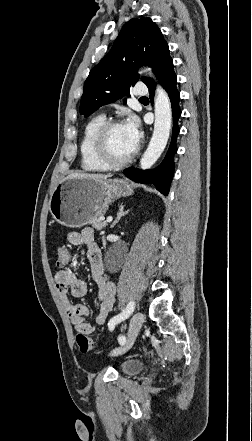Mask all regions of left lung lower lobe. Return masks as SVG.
<instances>
[{"instance_id": "1", "label": "left lung lower lobe", "mask_w": 252, "mask_h": 441, "mask_svg": "<svg viewBox=\"0 0 252 441\" xmlns=\"http://www.w3.org/2000/svg\"><path fill=\"white\" fill-rule=\"evenodd\" d=\"M155 74L158 77L160 84L167 91L171 101L173 132L170 146L164 160L157 168L153 170H140L131 167L124 170V175L138 183L154 184L157 190H159L163 195H168L170 183L174 173L173 157L177 151L176 138L180 131L178 119L181 116V110L179 107L180 94L176 87L177 78L174 72L173 61L170 57L168 47L163 50V53L160 56ZM147 87L149 88L150 98L152 99L155 89V83L152 79L147 84Z\"/></svg>"}]
</instances>
